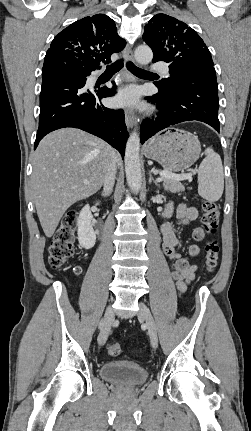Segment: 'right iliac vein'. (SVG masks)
Segmentation results:
<instances>
[{
    "label": "right iliac vein",
    "instance_id": "1",
    "mask_svg": "<svg viewBox=\"0 0 251 431\" xmlns=\"http://www.w3.org/2000/svg\"><path fill=\"white\" fill-rule=\"evenodd\" d=\"M113 321H114V312L112 307L108 306L104 316V325L98 336L99 345H103L106 342Z\"/></svg>",
    "mask_w": 251,
    "mask_h": 431
}]
</instances>
